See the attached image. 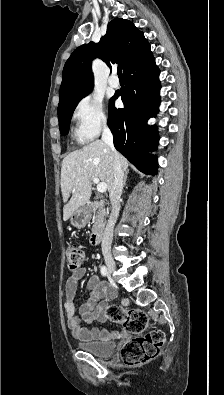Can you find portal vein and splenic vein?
I'll list each match as a JSON object with an SVG mask.
<instances>
[{"instance_id": "obj_1", "label": "portal vein and splenic vein", "mask_w": 224, "mask_h": 395, "mask_svg": "<svg viewBox=\"0 0 224 395\" xmlns=\"http://www.w3.org/2000/svg\"><path fill=\"white\" fill-rule=\"evenodd\" d=\"M93 182L97 184V191L100 193H104L107 190V184L100 182L98 178H94Z\"/></svg>"}]
</instances>
